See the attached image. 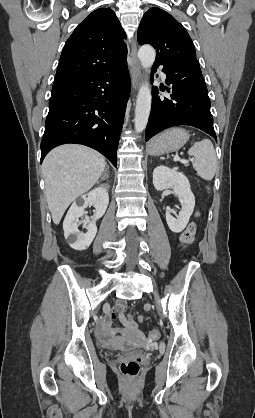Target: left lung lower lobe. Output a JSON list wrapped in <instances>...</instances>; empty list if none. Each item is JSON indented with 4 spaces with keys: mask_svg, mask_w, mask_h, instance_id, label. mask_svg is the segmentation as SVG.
Wrapping results in <instances>:
<instances>
[{
    "mask_svg": "<svg viewBox=\"0 0 255 418\" xmlns=\"http://www.w3.org/2000/svg\"><path fill=\"white\" fill-rule=\"evenodd\" d=\"M159 65L163 66L162 71L167 76L166 83L172 86V90L170 97L166 98L160 97L157 87H153L146 141L160 131L177 125L194 126L217 140L207 87L198 61L165 64L155 62L152 75ZM151 79L153 81V77Z\"/></svg>",
    "mask_w": 255,
    "mask_h": 418,
    "instance_id": "obj_1",
    "label": "left lung lower lobe"
}]
</instances>
